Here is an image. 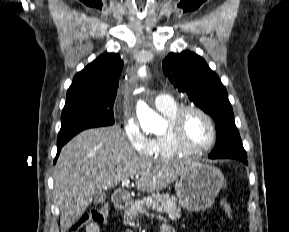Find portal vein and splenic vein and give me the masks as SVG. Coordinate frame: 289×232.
<instances>
[{"label": "portal vein and splenic vein", "instance_id": "18ae733b", "mask_svg": "<svg viewBox=\"0 0 289 232\" xmlns=\"http://www.w3.org/2000/svg\"><path fill=\"white\" fill-rule=\"evenodd\" d=\"M130 183V179H126L124 181H122V186H126Z\"/></svg>", "mask_w": 289, "mask_h": 232}]
</instances>
